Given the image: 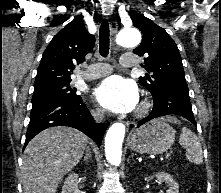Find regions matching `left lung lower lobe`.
<instances>
[{
    "label": "left lung lower lobe",
    "mask_w": 221,
    "mask_h": 193,
    "mask_svg": "<svg viewBox=\"0 0 221 193\" xmlns=\"http://www.w3.org/2000/svg\"><path fill=\"white\" fill-rule=\"evenodd\" d=\"M153 100L152 111L147 117L139 121L138 127L154 118L171 114L183 116L197 126L189 100L187 85L164 87L160 94L153 96Z\"/></svg>",
    "instance_id": "obj_1"
}]
</instances>
